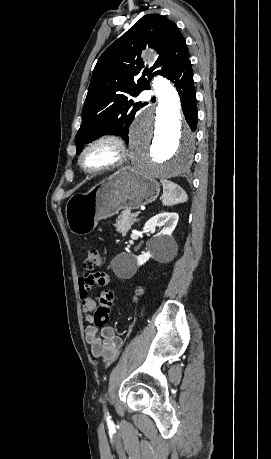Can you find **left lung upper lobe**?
I'll return each mask as SVG.
<instances>
[{
  "mask_svg": "<svg viewBox=\"0 0 271 459\" xmlns=\"http://www.w3.org/2000/svg\"><path fill=\"white\" fill-rule=\"evenodd\" d=\"M147 45L159 55L150 68L141 59ZM188 58L185 38L174 22L158 14L143 16L98 59L75 137L77 154L84 143L104 134H120L127 141L135 113L143 107L130 97L150 89L154 75L168 77Z\"/></svg>",
  "mask_w": 271,
  "mask_h": 459,
  "instance_id": "5c2ea615",
  "label": "left lung upper lobe"
}]
</instances>
